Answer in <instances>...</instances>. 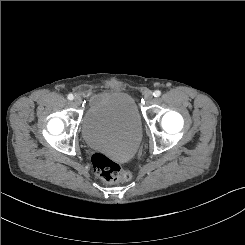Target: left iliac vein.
<instances>
[{
    "mask_svg": "<svg viewBox=\"0 0 245 245\" xmlns=\"http://www.w3.org/2000/svg\"><path fill=\"white\" fill-rule=\"evenodd\" d=\"M152 99H153V93L152 92H147L145 94V100H146V102H151Z\"/></svg>",
    "mask_w": 245,
    "mask_h": 245,
    "instance_id": "4c4485c4",
    "label": "left iliac vein"
}]
</instances>
